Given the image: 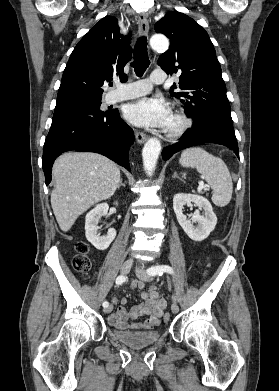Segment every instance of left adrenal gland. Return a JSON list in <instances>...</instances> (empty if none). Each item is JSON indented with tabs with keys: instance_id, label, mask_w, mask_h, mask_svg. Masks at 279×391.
Segmentation results:
<instances>
[{
	"instance_id": "a2214340",
	"label": "left adrenal gland",
	"mask_w": 279,
	"mask_h": 391,
	"mask_svg": "<svg viewBox=\"0 0 279 391\" xmlns=\"http://www.w3.org/2000/svg\"><path fill=\"white\" fill-rule=\"evenodd\" d=\"M173 178H179L176 173H174Z\"/></svg>"
}]
</instances>
